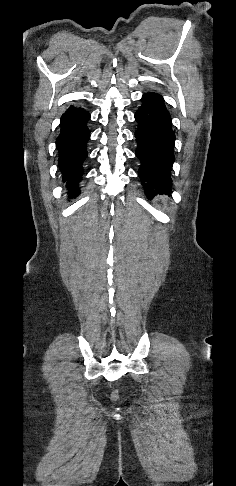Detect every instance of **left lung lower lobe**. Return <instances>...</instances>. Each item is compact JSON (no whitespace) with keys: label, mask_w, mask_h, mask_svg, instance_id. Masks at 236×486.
<instances>
[{"label":"left lung lower lobe","mask_w":236,"mask_h":486,"mask_svg":"<svg viewBox=\"0 0 236 486\" xmlns=\"http://www.w3.org/2000/svg\"><path fill=\"white\" fill-rule=\"evenodd\" d=\"M142 106L135 114L138 129L136 156L141 162L138 175L148 197L169 193L174 157L175 134L163 97L155 92L143 94Z\"/></svg>","instance_id":"1"}]
</instances>
